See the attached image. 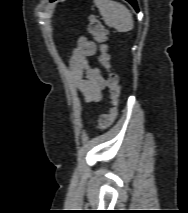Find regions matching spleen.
<instances>
[{
  "label": "spleen",
  "mask_w": 188,
  "mask_h": 213,
  "mask_svg": "<svg viewBox=\"0 0 188 213\" xmlns=\"http://www.w3.org/2000/svg\"><path fill=\"white\" fill-rule=\"evenodd\" d=\"M106 25L118 32H128L133 29L132 14L127 7L113 0H94Z\"/></svg>",
  "instance_id": "spleen-1"
}]
</instances>
